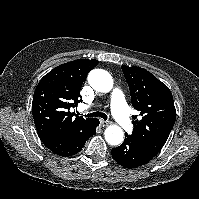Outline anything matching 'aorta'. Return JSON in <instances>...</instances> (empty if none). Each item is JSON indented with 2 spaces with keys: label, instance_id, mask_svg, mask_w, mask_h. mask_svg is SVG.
<instances>
[{
  "label": "aorta",
  "instance_id": "aorta-1",
  "mask_svg": "<svg viewBox=\"0 0 199 199\" xmlns=\"http://www.w3.org/2000/svg\"><path fill=\"white\" fill-rule=\"evenodd\" d=\"M88 83L98 91L107 93L113 87V79L111 75L103 69H94L88 75ZM124 133L118 125H110L105 130V140L112 146H117L122 143Z\"/></svg>",
  "mask_w": 199,
  "mask_h": 199
}]
</instances>
